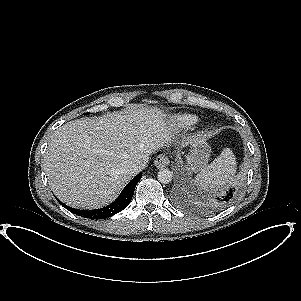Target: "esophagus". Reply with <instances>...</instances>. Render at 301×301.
Segmentation results:
<instances>
[{"label": "esophagus", "mask_w": 301, "mask_h": 301, "mask_svg": "<svg viewBox=\"0 0 301 301\" xmlns=\"http://www.w3.org/2000/svg\"><path fill=\"white\" fill-rule=\"evenodd\" d=\"M169 164V159L167 156L165 155H158L154 161V165L157 167V168H163V167H166L168 166Z\"/></svg>", "instance_id": "34e87169"}]
</instances>
